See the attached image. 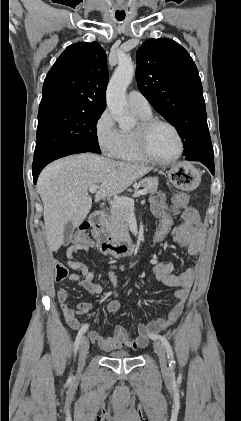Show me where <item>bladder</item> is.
<instances>
[{"label": "bladder", "mask_w": 241, "mask_h": 421, "mask_svg": "<svg viewBox=\"0 0 241 421\" xmlns=\"http://www.w3.org/2000/svg\"><path fill=\"white\" fill-rule=\"evenodd\" d=\"M110 358L125 359L132 357V354L125 350L113 351L107 354Z\"/></svg>", "instance_id": "1"}]
</instances>
